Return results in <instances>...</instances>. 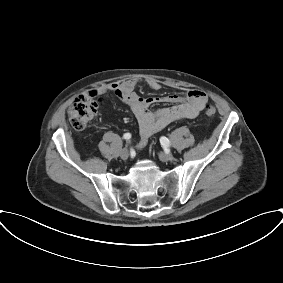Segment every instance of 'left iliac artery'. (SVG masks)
Returning a JSON list of instances; mask_svg holds the SVG:
<instances>
[{"label":"left iliac artery","instance_id":"44dca946","mask_svg":"<svg viewBox=\"0 0 283 283\" xmlns=\"http://www.w3.org/2000/svg\"><path fill=\"white\" fill-rule=\"evenodd\" d=\"M160 143L161 145H163L164 147H168L170 145V140L168 138H166L165 136H162L160 138Z\"/></svg>","mask_w":283,"mask_h":283}]
</instances>
